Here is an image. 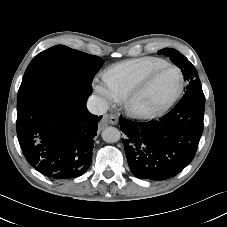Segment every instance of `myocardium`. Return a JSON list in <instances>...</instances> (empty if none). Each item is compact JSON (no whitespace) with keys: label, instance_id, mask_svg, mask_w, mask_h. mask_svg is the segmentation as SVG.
<instances>
[{"label":"myocardium","instance_id":"f54148a6","mask_svg":"<svg viewBox=\"0 0 227 227\" xmlns=\"http://www.w3.org/2000/svg\"><path fill=\"white\" fill-rule=\"evenodd\" d=\"M175 69L179 74V86L176 90V92L172 95V97L167 100L163 105L156 109L152 110H143L139 109L135 106L136 99L143 94L148 87L151 85V83L154 81V79L164 70L166 69ZM184 89V75L182 70L174 65V64H166L164 66H161L154 71H152L148 76H146L136 87H134L129 93H127L124 96L123 104L131 116L139 119H154L161 115H163L165 112H167L172 105L177 101V99L180 97Z\"/></svg>","mask_w":227,"mask_h":227}]
</instances>
